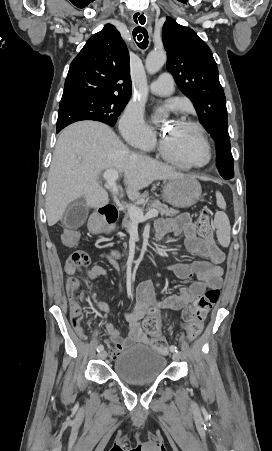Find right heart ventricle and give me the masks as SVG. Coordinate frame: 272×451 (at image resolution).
Masks as SVG:
<instances>
[{"label":"right heart ventricle","mask_w":272,"mask_h":451,"mask_svg":"<svg viewBox=\"0 0 272 451\" xmlns=\"http://www.w3.org/2000/svg\"><path fill=\"white\" fill-rule=\"evenodd\" d=\"M173 102V104H177V102L176 101H172Z\"/></svg>","instance_id":"right-heart-ventricle-1"}]
</instances>
